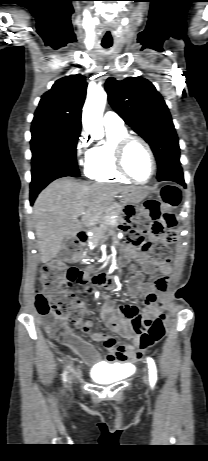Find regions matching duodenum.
<instances>
[{
    "mask_svg": "<svg viewBox=\"0 0 208 461\" xmlns=\"http://www.w3.org/2000/svg\"><path fill=\"white\" fill-rule=\"evenodd\" d=\"M88 235H89V231L88 230H81L78 232L77 234V237L81 240V241H86L87 238H88Z\"/></svg>",
    "mask_w": 208,
    "mask_h": 461,
    "instance_id": "obj_1",
    "label": "duodenum"
}]
</instances>
